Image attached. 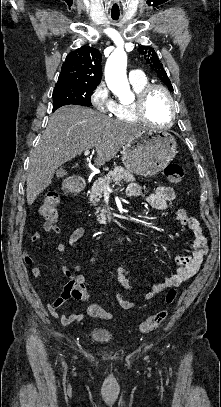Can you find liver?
<instances>
[{
    "instance_id": "liver-1",
    "label": "liver",
    "mask_w": 221,
    "mask_h": 407,
    "mask_svg": "<svg viewBox=\"0 0 221 407\" xmlns=\"http://www.w3.org/2000/svg\"><path fill=\"white\" fill-rule=\"evenodd\" d=\"M143 128L106 117L90 108L64 106L50 117L30 157L26 179L28 205L51 183L58 167L85 150L96 149L95 164L104 165Z\"/></svg>"
}]
</instances>
